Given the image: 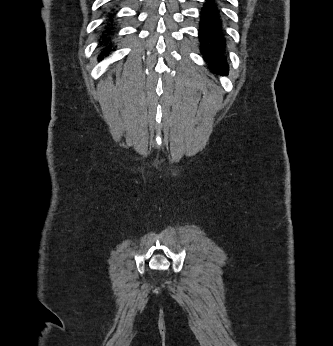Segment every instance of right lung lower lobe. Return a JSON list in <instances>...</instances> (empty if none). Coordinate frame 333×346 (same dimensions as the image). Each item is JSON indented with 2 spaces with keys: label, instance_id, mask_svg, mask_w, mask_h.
<instances>
[{
  "label": "right lung lower lobe",
  "instance_id": "right-lung-lower-lobe-1",
  "mask_svg": "<svg viewBox=\"0 0 333 346\" xmlns=\"http://www.w3.org/2000/svg\"><path fill=\"white\" fill-rule=\"evenodd\" d=\"M116 12L117 10L111 8L110 11L105 14L107 20L103 23L101 30L100 45L103 47V50L98 58L99 60H101L104 56L109 55V52L113 46L114 35L117 32V18L114 17Z\"/></svg>",
  "mask_w": 333,
  "mask_h": 346
}]
</instances>
